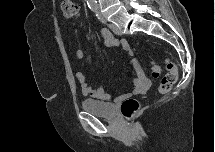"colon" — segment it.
I'll return each mask as SVG.
<instances>
[{
	"instance_id": "1",
	"label": "colon",
	"mask_w": 215,
	"mask_h": 152,
	"mask_svg": "<svg viewBox=\"0 0 215 152\" xmlns=\"http://www.w3.org/2000/svg\"><path fill=\"white\" fill-rule=\"evenodd\" d=\"M77 10L78 7L75 2L71 0H64L62 2V13L67 20L73 19L77 14ZM165 66L167 73L161 79L159 85L160 93L169 92L177 82L178 78L177 66L172 61L167 59L165 61ZM150 70L153 78H158L161 74V67L155 62L151 63ZM139 108L140 104L138 100L130 97L122 102L121 113L125 118L130 119L139 111Z\"/></svg>"
}]
</instances>
